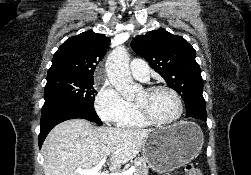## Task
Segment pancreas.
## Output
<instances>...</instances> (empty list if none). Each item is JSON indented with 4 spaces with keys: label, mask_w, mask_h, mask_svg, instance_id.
Segmentation results:
<instances>
[{
    "label": "pancreas",
    "mask_w": 251,
    "mask_h": 175,
    "mask_svg": "<svg viewBox=\"0 0 251 175\" xmlns=\"http://www.w3.org/2000/svg\"><path fill=\"white\" fill-rule=\"evenodd\" d=\"M133 165L135 167V171L132 175H148V167L143 157H136L133 161Z\"/></svg>",
    "instance_id": "pancreas-1"
}]
</instances>
